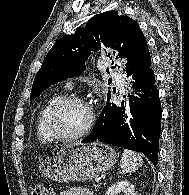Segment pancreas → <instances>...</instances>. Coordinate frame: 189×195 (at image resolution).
<instances>
[{"instance_id": "1", "label": "pancreas", "mask_w": 189, "mask_h": 195, "mask_svg": "<svg viewBox=\"0 0 189 195\" xmlns=\"http://www.w3.org/2000/svg\"><path fill=\"white\" fill-rule=\"evenodd\" d=\"M95 188L98 187L97 185H93Z\"/></svg>"}]
</instances>
